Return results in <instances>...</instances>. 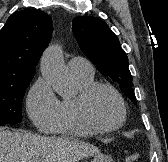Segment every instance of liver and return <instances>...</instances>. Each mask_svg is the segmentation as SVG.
<instances>
[{
  "label": "liver",
  "mask_w": 168,
  "mask_h": 162,
  "mask_svg": "<svg viewBox=\"0 0 168 162\" xmlns=\"http://www.w3.org/2000/svg\"><path fill=\"white\" fill-rule=\"evenodd\" d=\"M99 154L97 147L78 139L0 129V162H77Z\"/></svg>",
  "instance_id": "obj_1"
}]
</instances>
